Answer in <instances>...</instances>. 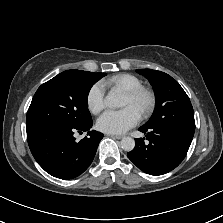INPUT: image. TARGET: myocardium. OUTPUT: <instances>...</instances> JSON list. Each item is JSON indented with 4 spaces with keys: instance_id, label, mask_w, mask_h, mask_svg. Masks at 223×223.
Instances as JSON below:
<instances>
[{
    "instance_id": "f54148a6",
    "label": "myocardium",
    "mask_w": 223,
    "mask_h": 223,
    "mask_svg": "<svg viewBox=\"0 0 223 223\" xmlns=\"http://www.w3.org/2000/svg\"><path fill=\"white\" fill-rule=\"evenodd\" d=\"M126 96L134 101L145 99L146 104L140 111L141 116H147L153 112L156 104V98L151 90L141 87L134 91L127 92Z\"/></svg>"
}]
</instances>
